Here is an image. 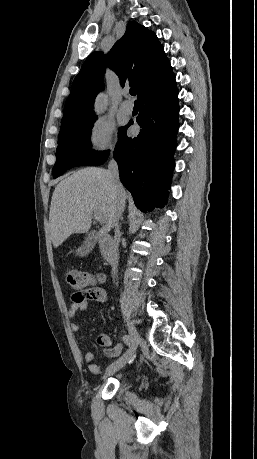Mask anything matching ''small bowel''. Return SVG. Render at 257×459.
<instances>
[{"label": "small bowel", "mask_w": 257, "mask_h": 459, "mask_svg": "<svg viewBox=\"0 0 257 459\" xmlns=\"http://www.w3.org/2000/svg\"><path fill=\"white\" fill-rule=\"evenodd\" d=\"M87 292H88V296L85 299L81 300V301H77L75 299L76 292L73 293V295H72V303H71V305L69 306V309H68V317L70 319H74L78 313L86 311V309L88 307V304L91 301H96L98 303H106L107 300H108L107 292L105 291L104 288H102L100 286L90 287V288H88ZM70 329L73 332H78L80 330L79 323L72 322L70 324ZM97 343L100 346V348L102 350V353L107 358H115L116 356L119 355V353L122 350V345H120V344H118V345L113 347L110 337L105 333H102V334L98 335ZM84 359H85L87 367H88V369H89V371L91 373H93V374H99L100 373V369H99L98 365L95 363L94 355H93L92 352H90V351L86 352L84 354Z\"/></svg>", "instance_id": "1"}]
</instances>
